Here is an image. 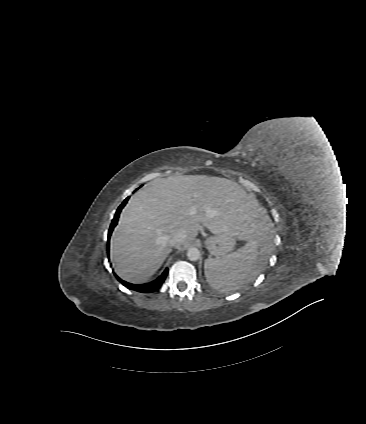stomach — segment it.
Here are the masks:
<instances>
[{
	"label": "stomach",
	"instance_id": "stomach-1",
	"mask_svg": "<svg viewBox=\"0 0 366 424\" xmlns=\"http://www.w3.org/2000/svg\"><path fill=\"white\" fill-rule=\"evenodd\" d=\"M236 236L220 233L205 240V247L211 255L220 257L232 251L236 244Z\"/></svg>",
	"mask_w": 366,
	"mask_h": 424
}]
</instances>
